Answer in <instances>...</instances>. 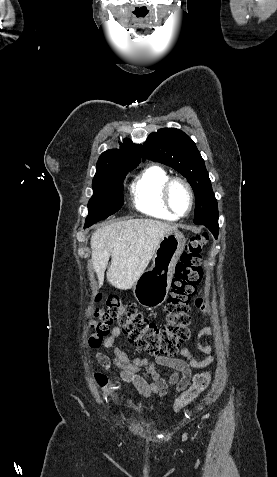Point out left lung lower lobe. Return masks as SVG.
I'll list each match as a JSON object with an SVG mask.
<instances>
[{"label": "left lung lower lobe", "mask_w": 277, "mask_h": 477, "mask_svg": "<svg viewBox=\"0 0 277 477\" xmlns=\"http://www.w3.org/2000/svg\"><path fill=\"white\" fill-rule=\"evenodd\" d=\"M203 225L206 226L212 232L215 238H217L218 231H219L218 220L207 221V222H204Z\"/></svg>", "instance_id": "left-lung-lower-lobe-1"}]
</instances>
